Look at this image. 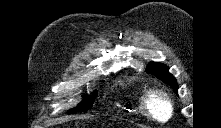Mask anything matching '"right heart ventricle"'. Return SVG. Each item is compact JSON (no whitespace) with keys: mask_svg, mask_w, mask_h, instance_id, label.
Here are the masks:
<instances>
[{"mask_svg":"<svg viewBox=\"0 0 221 128\" xmlns=\"http://www.w3.org/2000/svg\"><path fill=\"white\" fill-rule=\"evenodd\" d=\"M143 96H144L143 94H140V96L137 98L135 104L132 106L133 112L138 113V112H141V110L143 109V105H142Z\"/></svg>","mask_w":221,"mask_h":128,"instance_id":"1","label":"right heart ventricle"}]
</instances>
